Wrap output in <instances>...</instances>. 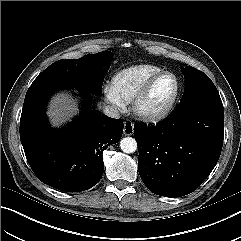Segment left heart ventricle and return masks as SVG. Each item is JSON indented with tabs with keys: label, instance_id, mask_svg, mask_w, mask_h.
Listing matches in <instances>:
<instances>
[{
	"label": "left heart ventricle",
	"instance_id": "1",
	"mask_svg": "<svg viewBox=\"0 0 241 241\" xmlns=\"http://www.w3.org/2000/svg\"><path fill=\"white\" fill-rule=\"evenodd\" d=\"M175 90V81L171 76L161 78L151 90L145 107L148 109H156L165 104L173 95Z\"/></svg>",
	"mask_w": 241,
	"mask_h": 241
}]
</instances>
